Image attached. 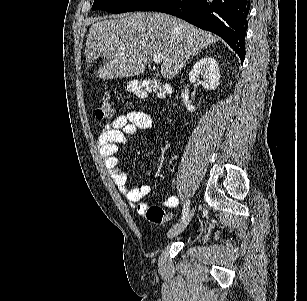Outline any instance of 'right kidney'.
Listing matches in <instances>:
<instances>
[{"instance_id": "obj_1", "label": "right kidney", "mask_w": 307, "mask_h": 301, "mask_svg": "<svg viewBox=\"0 0 307 301\" xmlns=\"http://www.w3.org/2000/svg\"><path fill=\"white\" fill-rule=\"evenodd\" d=\"M200 78H203V80H200ZM189 80L190 82H196V84H202L208 90H215L220 80V70L217 60L212 58V56H204V58L197 60L189 72ZM188 86L189 84H186L184 90H182L181 98H183L187 110L194 112L197 106L191 104V100H189Z\"/></svg>"}]
</instances>
